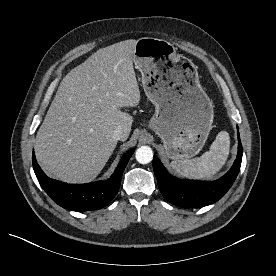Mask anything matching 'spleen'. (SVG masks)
<instances>
[{
	"instance_id": "1",
	"label": "spleen",
	"mask_w": 276,
	"mask_h": 276,
	"mask_svg": "<svg viewBox=\"0 0 276 276\" xmlns=\"http://www.w3.org/2000/svg\"><path fill=\"white\" fill-rule=\"evenodd\" d=\"M229 150V134L226 131H221L216 136L209 151L202 156L190 160H174L171 162V166L178 174L188 178H210L225 164Z\"/></svg>"
}]
</instances>
